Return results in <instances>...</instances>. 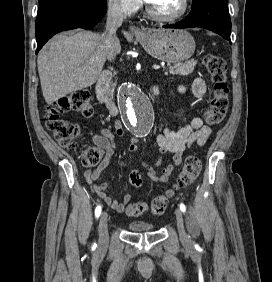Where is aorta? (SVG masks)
Listing matches in <instances>:
<instances>
[{
    "mask_svg": "<svg viewBox=\"0 0 272 282\" xmlns=\"http://www.w3.org/2000/svg\"><path fill=\"white\" fill-rule=\"evenodd\" d=\"M120 109L130 130L137 135L148 134L154 123L153 106L142 88L127 83L120 92Z\"/></svg>",
    "mask_w": 272,
    "mask_h": 282,
    "instance_id": "762f6f07",
    "label": "aorta"
}]
</instances>
